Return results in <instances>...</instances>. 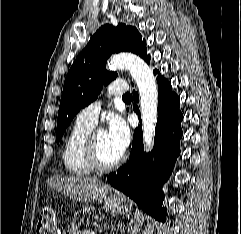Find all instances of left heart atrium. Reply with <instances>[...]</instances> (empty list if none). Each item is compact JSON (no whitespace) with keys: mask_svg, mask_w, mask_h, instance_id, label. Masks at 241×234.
I'll use <instances>...</instances> for the list:
<instances>
[{"mask_svg":"<svg viewBox=\"0 0 241 234\" xmlns=\"http://www.w3.org/2000/svg\"><path fill=\"white\" fill-rule=\"evenodd\" d=\"M106 132L112 145L123 154L130 142V129L126 121L117 115L110 116Z\"/></svg>","mask_w":241,"mask_h":234,"instance_id":"obj_1","label":"left heart atrium"}]
</instances>
